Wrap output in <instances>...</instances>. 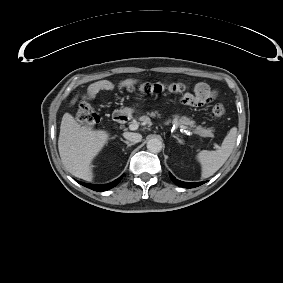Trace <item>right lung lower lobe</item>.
<instances>
[{"mask_svg":"<svg viewBox=\"0 0 283 283\" xmlns=\"http://www.w3.org/2000/svg\"><path fill=\"white\" fill-rule=\"evenodd\" d=\"M122 177H123V175L121 177H119L118 179L114 180L113 182L108 183V184H103V185H95V184H87V183H84V184L88 188L93 189L95 191H105V190H108V189L114 187L116 184H118L119 181L122 179Z\"/></svg>","mask_w":283,"mask_h":283,"instance_id":"obj_1","label":"right lung lower lobe"}]
</instances>
